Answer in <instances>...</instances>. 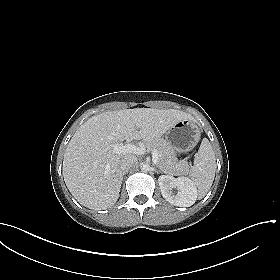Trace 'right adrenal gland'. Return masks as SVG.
<instances>
[{"label":"right adrenal gland","mask_w":280,"mask_h":280,"mask_svg":"<svg viewBox=\"0 0 280 280\" xmlns=\"http://www.w3.org/2000/svg\"><path fill=\"white\" fill-rule=\"evenodd\" d=\"M126 173H127V171H124V172H123V176L126 175Z\"/></svg>","instance_id":"right-adrenal-gland-1"}]
</instances>
